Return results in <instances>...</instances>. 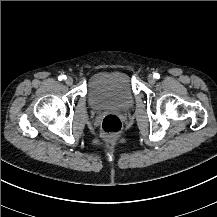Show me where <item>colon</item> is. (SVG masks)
<instances>
[{
	"mask_svg": "<svg viewBox=\"0 0 217 217\" xmlns=\"http://www.w3.org/2000/svg\"><path fill=\"white\" fill-rule=\"evenodd\" d=\"M102 135L107 140H114L122 129V123L119 116L115 113L107 114L101 124Z\"/></svg>",
	"mask_w": 217,
	"mask_h": 217,
	"instance_id": "obj_1",
	"label": "colon"
}]
</instances>
